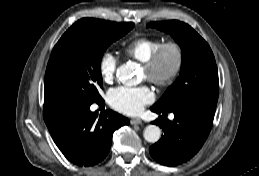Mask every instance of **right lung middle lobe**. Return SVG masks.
<instances>
[{
  "label": "right lung middle lobe",
  "mask_w": 259,
  "mask_h": 176,
  "mask_svg": "<svg viewBox=\"0 0 259 176\" xmlns=\"http://www.w3.org/2000/svg\"><path fill=\"white\" fill-rule=\"evenodd\" d=\"M134 24L93 18L75 22L54 46L45 77L60 100L93 103L102 98L100 70L106 48L128 33Z\"/></svg>",
  "instance_id": "right-lung-middle-lobe-1"
}]
</instances>
